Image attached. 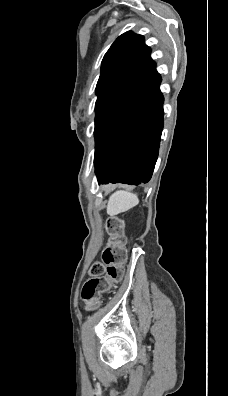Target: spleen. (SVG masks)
Wrapping results in <instances>:
<instances>
[{
    "mask_svg": "<svg viewBox=\"0 0 228 396\" xmlns=\"http://www.w3.org/2000/svg\"><path fill=\"white\" fill-rule=\"evenodd\" d=\"M139 199L136 194L125 190L114 192L108 201L107 213L111 216L126 212L136 206Z\"/></svg>",
    "mask_w": 228,
    "mask_h": 396,
    "instance_id": "obj_1",
    "label": "spleen"
}]
</instances>
